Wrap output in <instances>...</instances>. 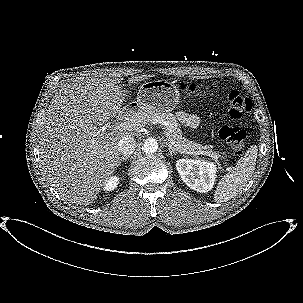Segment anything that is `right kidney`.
Here are the masks:
<instances>
[{"label":"right kidney","instance_id":"ca27d5eb","mask_svg":"<svg viewBox=\"0 0 303 303\" xmlns=\"http://www.w3.org/2000/svg\"><path fill=\"white\" fill-rule=\"evenodd\" d=\"M118 183H119V178L116 176H112L104 183L103 189L104 191H108V192L112 191L117 187Z\"/></svg>","mask_w":303,"mask_h":303}]
</instances>
